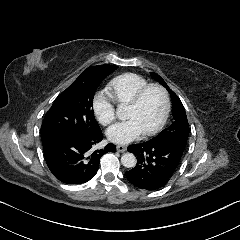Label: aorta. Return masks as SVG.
<instances>
[{
	"label": "aorta",
	"mask_w": 240,
	"mask_h": 240,
	"mask_svg": "<svg viewBox=\"0 0 240 240\" xmlns=\"http://www.w3.org/2000/svg\"><path fill=\"white\" fill-rule=\"evenodd\" d=\"M121 162L124 167L133 168L137 164V159L133 154L127 153L122 156Z\"/></svg>",
	"instance_id": "1"
}]
</instances>
